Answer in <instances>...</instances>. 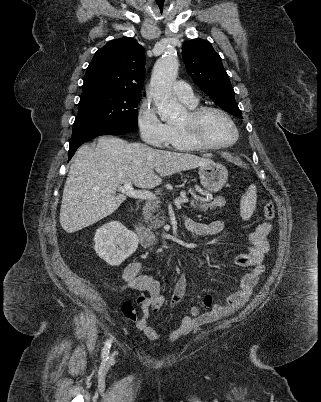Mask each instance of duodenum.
<instances>
[{
	"label": "duodenum",
	"instance_id": "obj_1",
	"mask_svg": "<svg viewBox=\"0 0 321 402\" xmlns=\"http://www.w3.org/2000/svg\"><path fill=\"white\" fill-rule=\"evenodd\" d=\"M131 227L136 233L139 242L143 247L151 248L159 243V237L144 226L132 222Z\"/></svg>",
	"mask_w": 321,
	"mask_h": 402
}]
</instances>
